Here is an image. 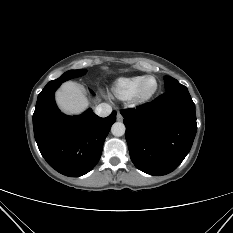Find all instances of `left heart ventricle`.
<instances>
[{
  "label": "left heart ventricle",
  "instance_id": "b2bd125f",
  "mask_svg": "<svg viewBox=\"0 0 233 233\" xmlns=\"http://www.w3.org/2000/svg\"><path fill=\"white\" fill-rule=\"evenodd\" d=\"M154 88H155V81L150 79L144 84L143 93L149 94L150 92L153 91Z\"/></svg>",
  "mask_w": 233,
  "mask_h": 233
}]
</instances>
